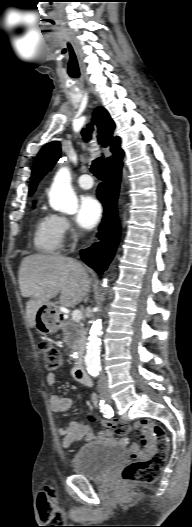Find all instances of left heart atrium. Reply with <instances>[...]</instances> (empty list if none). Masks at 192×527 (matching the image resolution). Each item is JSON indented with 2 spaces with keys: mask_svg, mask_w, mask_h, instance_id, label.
Masks as SVG:
<instances>
[{
  "mask_svg": "<svg viewBox=\"0 0 192 527\" xmlns=\"http://www.w3.org/2000/svg\"><path fill=\"white\" fill-rule=\"evenodd\" d=\"M102 216L100 203L94 196L86 195L80 199L76 221L84 229H92Z\"/></svg>",
  "mask_w": 192,
  "mask_h": 527,
  "instance_id": "39dd6f15",
  "label": "left heart atrium"
}]
</instances>
